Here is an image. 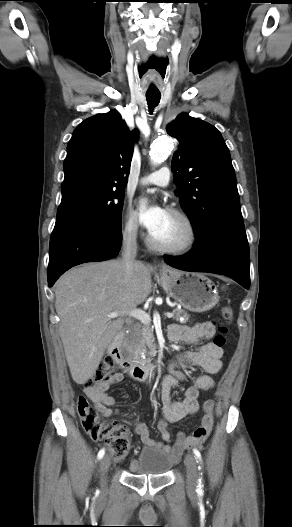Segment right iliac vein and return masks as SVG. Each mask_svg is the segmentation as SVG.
<instances>
[{
    "instance_id": "obj_1",
    "label": "right iliac vein",
    "mask_w": 292,
    "mask_h": 527,
    "mask_svg": "<svg viewBox=\"0 0 292 527\" xmlns=\"http://www.w3.org/2000/svg\"><path fill=\"white\" fill-rule=\"evenodd\" d=\"M109 466H110V458L108 456L103 457L100 462L101 485L103 489L105 488V484H106L105 475L109 469Z\"/></svg>"
}]
</instances>
